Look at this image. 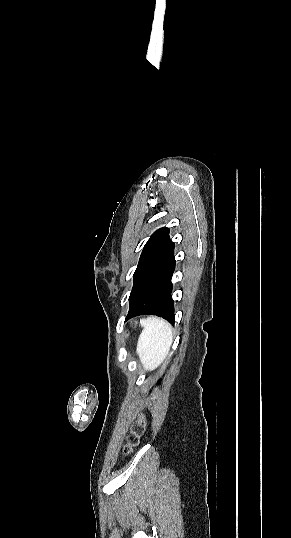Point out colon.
Masks as SVG:
<instances>
[{
    "label": "colon",
    "mask_w": 291,
    "mask_h": 538,
    "mask_svg": "<svg viewBox=\"0 0 291 538\" xmlns=\"http://www.w3.org/2000/svg\"><path fill=\"white\" fill-rule=\"evenodd\" d=\"M145 429V419L144 416H139L138 420L135 422L131 433L127 438V443L125 445V452L130 453L140 441V437L144 433Z\"/></svg>",
    "instance_id": "obj_1"
}]
</instances>
